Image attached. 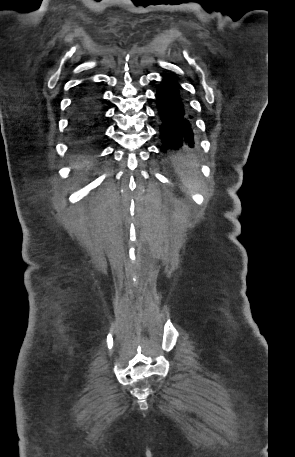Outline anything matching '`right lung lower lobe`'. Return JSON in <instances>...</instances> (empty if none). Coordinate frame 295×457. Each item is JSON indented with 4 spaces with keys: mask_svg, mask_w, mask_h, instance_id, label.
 <instances>
[{
    "mask_svg": "<svg viewBox=\"0 0 295 457\" xmlns=\"http://www.w3.org/2000/svg\"><path fill=\"white\" fill-rule=\"evenodd\" d=\"M99 95L83 84L74 100V121L84 130V144L94 149L98 138Z\"/></svg>",
    "mask_w": 295,
    "mask_h": 457,
    "instance_id": "obj_1",
    "label": "right lung lower lobe"
}]
</instances>
